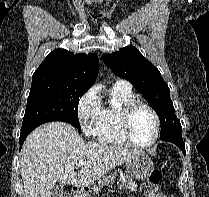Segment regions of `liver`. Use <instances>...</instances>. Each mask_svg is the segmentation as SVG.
<instances>
[{"label":"liver","mask_w":209,"mask_h":197,"mask_svg":"<svg viewBox=\"0 0 209 197\" xmlns=\"http://www.w3.org/2000/svg\"><path fill=\"white\" fill-rule=\"evenodd\" d=\"M140 152L86 142L65 122L43 124L30 133L21 151L20 173L25 197H50L57 181L88 186ZM80 160L85 164L76 172Z\"/></svg>","instance_id":"liver-1"}]
</instances>
